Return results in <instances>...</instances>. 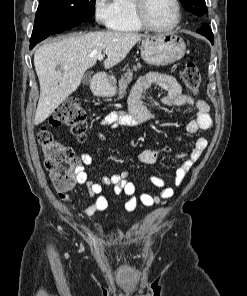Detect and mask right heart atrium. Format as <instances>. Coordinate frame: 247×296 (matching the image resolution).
<instances>
[{
    "instance_id": "obj_1",
    "label": "right heart atrium",
    "mask_w": 247,
    "mask_h": 296,
    "mask_svg": "<svg viewBox=\"0 0 247 296\" xmlns=\"http://www.w3.org/2000/svg\"><path fill=\"white\" fill-rule=\"evenodd\" d=\"M93 15L99 25L112 27L117 16L115 0H93Z\"/></svg>"
}]
</instances>
